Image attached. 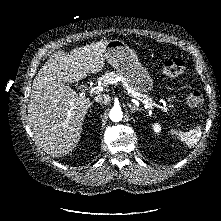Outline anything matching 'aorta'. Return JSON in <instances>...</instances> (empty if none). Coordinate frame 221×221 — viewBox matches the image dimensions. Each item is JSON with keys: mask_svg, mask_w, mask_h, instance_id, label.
<instances>
[{"mask_svg": "<svg viewBox=\"0 0 221 221\" xmlns=\"http://www.w3.org/2000/svg\"><path fill=\"white\" fill-rule=\"evenodd\" d=\"M109 117H110L111 121H113V122L121 121L123 118L122 110L119 107H113L110 110Z\"/></svg>", "mask_w": 221, "mask_h": 221, "instance_id": "aorta-1", "label": "aorta"}]
</instances>
